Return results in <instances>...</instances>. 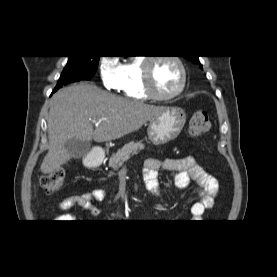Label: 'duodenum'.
Segmentation results:
<instances>
[{"label":"duodenum","instance_id":"410a0bca","mask_svg":"<svg viewBox=\"0 0 277 277\" xmlns=\"http://www.w3.org/2000/svg\"><path fill=\"white\" fill-rule=\"evenodd\" d=\"M105 155L100 150H92L85 159V165L87 168H96L104 160Z\"/></svg>","mask_w":277,"mask_h":277}]
</instances>
